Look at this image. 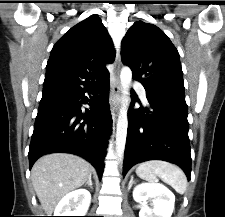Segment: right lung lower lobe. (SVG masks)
<instances>
[{
    "mask_svg": "<svg viewBox=\"0 0 225 217\" xmlns=\"http://www.w3.org/2000/svg\"><path fill=\"white\" fill-rule=\"evenodd\" d=\"M98 88L99 95L94 93ZM95 95L85 113V93ZM109 79L89 90L42 98L29 147L30 169L44 154L67 152L79 155L97 169L101 179L112 118L108 104Z\"/></svg>",
    "mask_w": 225,
    "mask_h": 217,
    "instance_id": "98d812e1",
    "label": "right lung lower lobe"
}]
</instances>
